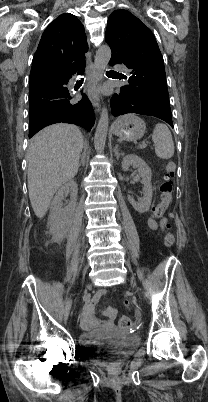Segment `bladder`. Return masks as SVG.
I'll return each mask as SVG.
<instances>
[{
	"label": "bladder",
	"instance_id": "obj_1",
	"mask_svg": "<svg viewBox=\"0 0 208 402\" xmlns=\"http://www.w3.org/2000/svg\"><path fill=\"white\" fill-rule=\"evenodd\" d=\"M82 347L91 354L131 351L138 347L140 336L125 330L116 332H90L81 336Z\"/></svg>",
	"mask_w": 208,
	"mask_h": 402
}]
</instances>
